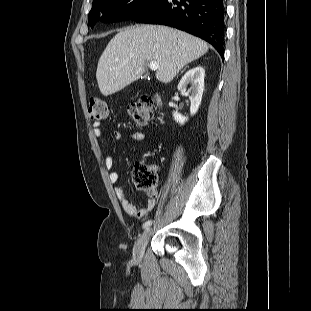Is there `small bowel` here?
I'll return each instance as SVG.
<instances>
[{"mask_svg": "<svg viewBox=\"0 0 311 311\" xmlns=\"http://www.w3.org/2000/svg\"><path fill=\"white\" fill-rule=\"evenodd\" d=\"M92 132L95 137L101 138L102 131H101V123L94 122L92 124ZM114 138L116 140H121L123 138V134L120 131L114 132ZM129 137L136 142H142L145 140L146 136L141 131H134L130 133ZM104 166L109 171L108 178L111 183H116L119 179L118 172L113 169L114 167V160L111 156H106L104 160ZM116 196L120 202L122 209L130 216L136 219H142L146 217L155 206V198L151 197L147 200L146 204L139 208L135 204L131 203L125 193L124 187L121 185H117L115 187Z\"/></svg>", "mask_w": 311, "mask_h": 311, "instance_id": "obj_1", "label": "small bowel"}]
</instances>
